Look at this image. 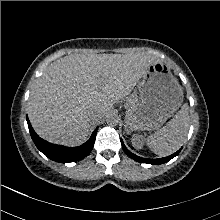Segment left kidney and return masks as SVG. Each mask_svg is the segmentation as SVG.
Returning <instances> with one entry per match:
<instances>
[{"mask_svg": "<svg viewBox=\"0 0 220 220\" xmlns=\"http://www.w3.org/2000/svg\"><path fill=\"white\" fill-rule=\"evenodd\" d=\"M132 145L135 149L143 148V138L140 135L134 134L131 138Z\"/></svg>", "mask_w": 220, "mask_h": 220, "instance_id": "obj_1", "label": "left kidney"}]
</instances>
